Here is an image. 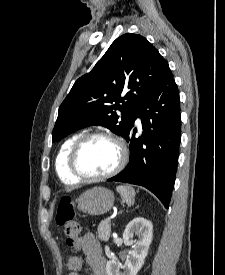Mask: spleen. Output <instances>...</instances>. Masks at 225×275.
Wrapping results in <instances>:
<instances>
[{
	"instance_id": "obj_1",
	"label": "spleen",
	"mask_w": 225,
	"mask_h": 275,
	"mask_svg": "<svg viewBox=\"0 0 225 275\" xmlns=\"http://www.w3.org/2000/svg\"><path fill=\"white\" fill-rule=\"evenodd\" d=\"M116 190L121 195V198L128 206H132L134 204L136 193L133 187L128 185H121V186H117Z\"/></svg>"
}]
</instances>
